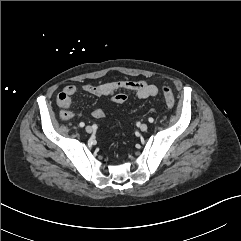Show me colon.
<instances>
[{
	"mask_svg": "<svg viewBox=\"0 0 241 241\" xmlns=\"http://www.w3.org/2000/svg\"><path fill=\"white\" fill-rule=\"evenodd\" d=\"M162 93L164 101L167 107L172 108L175 105V97L171 89L167 86L162 87ZM127 99V96L123 93H118L113 96V101L116 103H124Z\"/></svg>",
	"mask_w": 241,
	"mask_h": 241,
	"instance_id": "5ec220e1",
	"label": "colon"
}]
</instances>
